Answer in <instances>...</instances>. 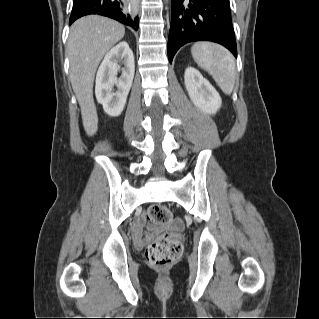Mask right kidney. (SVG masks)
Segmentation results:
<instances>
[{
  "label": "right kidney",
  "mask_w": 319,
  "mask_h": 319,
  "mask_svg": "<svg viewBox=\"0 0 319 319\" xmlns=\"http://www.w3.org/2000/svg\"><path fill=\"white\" fill-rule=\"evenodd\" d=\"M120 61H123L125 67L122 68L121 77L117 79ZM134 73V56L127 42H120L105 55L97 71L95 95L108 115L117 117L122 113ZM114 85L117 87L116 92L112 91Z\"/></svg>",
  "instance_id": "1"
}]
</instances>
